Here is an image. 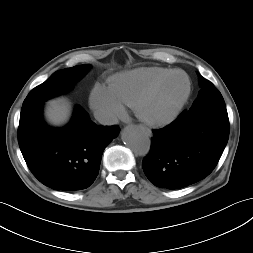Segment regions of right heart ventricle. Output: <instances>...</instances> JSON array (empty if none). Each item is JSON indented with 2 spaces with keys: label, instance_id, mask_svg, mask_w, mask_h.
Returning a JSON list of instances; mask_svg holds the SVG:
<instances>
[{
  "label": "right heart ventricle",
  "instance_id": "right-heart-ventricle-1",
  "mask_svg": "<svg viewBox=\"0 0 253 253\" xmlns=\"http://www.w3.org/2000/svg\"><path fill=\"white\" fill-rule=\"evenodd\" d=\"M172 71L162 67H141L122 72L110 79L109 88L123 105L136 107L141 96Z\"/></svg>",
  "mask_w": 253,
  "mask_h": 253
}]
</instances>
